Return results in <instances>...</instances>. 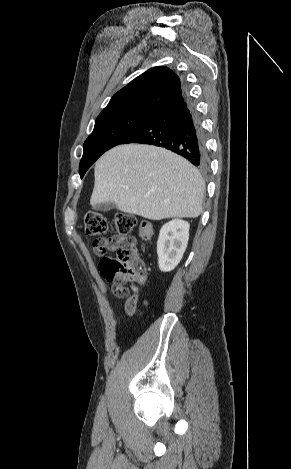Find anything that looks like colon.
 Listing matches in <instances>:
<instances>
[{"mask_svg":"<svg viewBox=\"0 0 291 469\" xmlns=\"http://www.w3.org/2000/svg\"><path fill=\"white\" fill-rule=\"evenodd\" d=\"M84 224L88 236L95 238L94 249L102 255L99 269L103 277L113 285V294L117 297H128L125 310L133 315L136 309L138 293L136 282L146 275L143 261L130 233L137 227L138 219L135 215L120 212L109 221L98 212L89 211L84 216ZM154 232L153 224L142 221L139 225V235L143 241H149ZM110 233L109 236L106 234ZM108 247L116 248L114 255H107ZM135 293L131 296L130 291Z\"/></svg>","mask_w":291,"mask_h":469,"instance_id":"5ec220e1","label":"colon"}]
</instances>
